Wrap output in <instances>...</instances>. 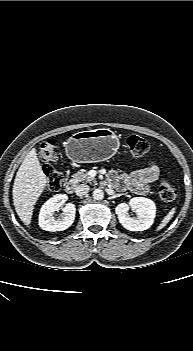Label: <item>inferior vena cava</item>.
<instances>
[{"label": "inferior vena cava", "mask_w": 193, "mask_h": 351, "mask_svg": "<svg viewBox=\"0 0 193 351\" xmlns=\"http://www.w3.org/2000/svg\"><path fill=\"white\" fill-rule=\"evenodd\" d=\"M90 190V187L86 184H80L75 188V193L77 196H84L86 195Z\"/></svg>", "instance_id": "obj_1"}]
</instances>
